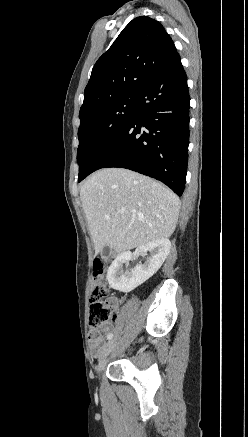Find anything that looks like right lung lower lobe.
<instances>
[{
	"instance_id": "right-lung-lower-lobe-1",
	"label": "right lung lower lobe",
	"mask_w": 248,
	"mask_h": 437,
	"mask_svg": "<svg viewBox=\"0 0 248 437\" xmlns=\"http://www.w3.org/2000/svg\"><path fill=\"white\" fill-rule=\"evenodd\" d=\"M189 107L187 76L177 55L139 91L131 118L94 159L86 176L100 168H126L163 182L181 196L188 163Z\"/></svg>"
}]
</instances>
